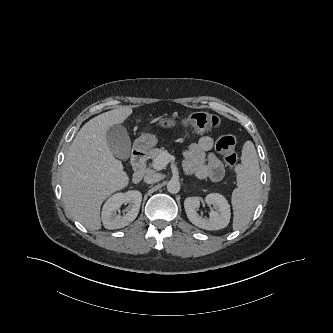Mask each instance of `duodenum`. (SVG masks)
I'll use <instances>...</instances> for the list:
<instances>
[{
    "mask_svg": "<svg viewBox=\"0 0 333 333\" xmlns=\"http://www.w3.org/2000/svg\"><path fill=\"white\" fill-rule=\"evenodd\" d=\"M147 153L142 149H136L132 153V165L134 173L132 176V182L138 184L142 181L145 175Z\"/></svg>",
    "mask_w": 333,
    "mask_h": 333,
    "instance_id": "duodenum-1",
    "label": "duodenum"
}]
</instances>
